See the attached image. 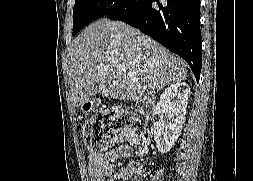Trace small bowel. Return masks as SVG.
Returning <instances> with one entry per match:
<instances>
[{"label": "small bowel", "mask_w": 253, "mask_h": 181, "mask_svg": "<svg viewBox=\"0 0 253 181\" xmlns=\"http://www.w3.org/2000/svg\"><path fill=\"white\" fill-rule=\"evenodd\" d=\"M133 154V148L129 144H123L114 150L104 153H91L89 155V175L91 181H113L116 175L122 174L119 165L114 164L121 158H129Z\"/></svg>", "instance_id": "c3829d8e"}]
</instances>
